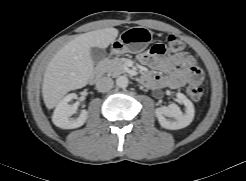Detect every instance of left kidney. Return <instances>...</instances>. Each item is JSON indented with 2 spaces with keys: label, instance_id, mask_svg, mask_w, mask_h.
<instances>
[{
  "label": "left kidney",
  "instance_id": "1",
  "mask_svg": "<svg viewBox=\"0 0 246 181\" xmlns=\"http://www.w3.org/2000/svg\"><path fill=\"white\" fill-rule=\"evenodd\" d=\"M177 102L185 106V112H182L178 105L170 104L155 110L156 117L163 128L169 130H178L187 127L194 119V105L182 93H177ZM167 117L171 119H167Z\"/></svg>",
  "mask_w": 246,
  "mask_h": 181
}]
</instances>
